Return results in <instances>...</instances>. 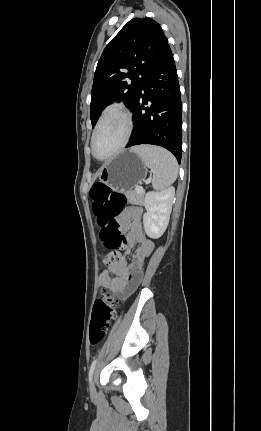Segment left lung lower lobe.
Wrapping results in <instances>:
<instances>
[{"mask_svg":"<svg viewBox=\"0 0 261 431\" xmlns=\"http://www.w3.org/2000/svg\"><path fill=\"white\" fill-rule=\"evenodd\" d=\"M145 105H148L145 107ZM134 129L126 147L158 145L181 162V94L174 58L169 45L147 71L132 109Z\"/></svg>","mask_w":261,"mask_h":431,"instance_id":"1","label":"left lung lower lobe"}]
</instances>
